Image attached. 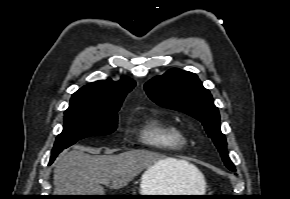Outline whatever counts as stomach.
Returning <instances> with one entry per match:
<instances>
[{"label":"stomach","mask_w":290,"mask_h":199,"mask_svg":"<svg viewBox=\"0 0 290 199\" xmlns=\"http://www.w3.org/2000/svg\"><path fill=\"white\" fill-rule=\"evenodd\" d=\"M179 178L175 175L166 173L155 164L148 168L141 176L140 195H202L204 192L205 180L202 173H197L193 180L194 189L191 193H176ZM156 199H194V197H144Z\"/></svg>","instance_id":"0dacf381"}]
</instances>
